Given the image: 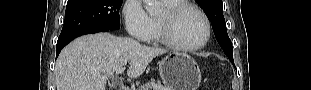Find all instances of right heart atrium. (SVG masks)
I'll use <instances>...</instances> for the list:
<instances>
[{
    "label": "right heart atrium",
    "instance_id": "d8ad5b80",
    "mask_svg": "<svg viewBox=\"0 0 311 90\" xmlns=\"http://www.w3.org/2000/svg\"><path fill=\"white\" fill-rule=\"evenodd\" d=\"M123 18L128 34L140 41L148 40L151 23L150 16L140 0H127L123 7Z\"/></svg>",
    "mask_w": 311,
    "mask_h": 90
}]
</instances>
